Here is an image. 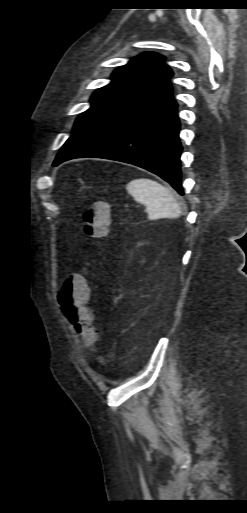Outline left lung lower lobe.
Wrapping results in <instances>:
<instances>
[{"label": "left lung lower lobe", "instance_id": "1", "mask_svg": "<svg viewBox=\"0 0 247 513\" xmlns=\"http://www.w3.org/2000/svg\"><path fill=\"white\" fill-rule=\"evenodd\" d=\"M179 128L177 103L167 81L74 132L53 166L80 157L122 161L157 174L183 195Z\"/></svg>", "mask_w": 247, "mask_h": 513}]
</instances>
